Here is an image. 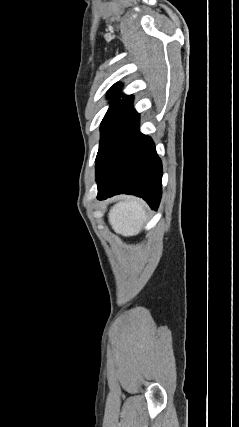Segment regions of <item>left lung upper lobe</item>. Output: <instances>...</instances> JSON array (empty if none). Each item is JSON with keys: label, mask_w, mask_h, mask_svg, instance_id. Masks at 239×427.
<instances>
[{"label": "left lung upper lobe", "mask_w": 239, "mask_h": 427, "mask_svg": "<svg viewBox=\"0 0 239 427\" xmlns=\"http://www.w3.org/2000/svg\"><path fill=\"white\" fill-rule=\"evenodd\" d=\"M120 87V84L113 85L109 91L111 94L109 98L115 95ZM132 101L131 95L118 94L113 98L101 123V139L96 160L113 136L137 114L132 106Z\"/></svg>", "instance_id": "obj_1"}]
</instances>
